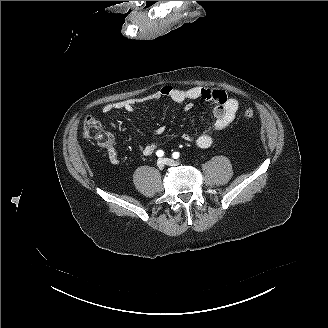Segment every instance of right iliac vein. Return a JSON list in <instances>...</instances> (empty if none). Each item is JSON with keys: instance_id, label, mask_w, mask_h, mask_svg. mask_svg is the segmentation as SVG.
<instances>
[{"instance_id": "obj_1", "label": "right iliac vein", "mask_w": 328, "mask_h": 328, "mask_svg": "<svg viewBox=\"0 0 328 328\" xmlns=\"http://www.w3.org/2000/svg\"><path fill=\"white\" fill-rule=\"evenodd\" d=\"M157 166H158V168L159 169H164V167H165V162L162 160V159H159L158 161H157Z\"/></svg>"}]
</instances>
